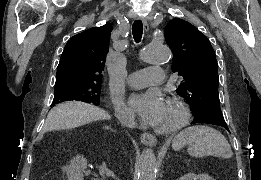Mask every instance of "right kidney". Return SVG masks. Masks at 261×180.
I'll return each mask as SVG.
<instances>
[{"label": "right kidney", "instance_id": "obj_1", "mask_svg": "<svg viewBox=\"0 0 261 180\" xmlns=\"http://www.w3.org/2000/svg\"><path fill=\"white\" fill-rule=\"evenodd\" d=\"M87 160L85 158H82V156H78V158H74L72 164L70 166H66L65 170L68 174V178H73V180H76L80 174V178H84L83 172L86 168ZM82 174V176H81Z\"/></svg>", "mask_w": 261, "mask_h": 180}]
</instances>
